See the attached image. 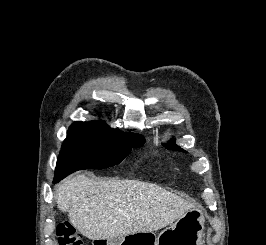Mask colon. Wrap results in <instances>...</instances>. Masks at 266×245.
Returning a JSON list of instances; mask_svg holds the SVG:
<instances>
[{"instance_id":"1","label":"colon","mask_w":266,"mask_h":245,"mask_svg":"<svg viewBox=\"0 0 266 245\" xmlns=\"http://www.w3.org/2000/svg\"><path fill=\"white\" fill-rule=\"evenodd\" d=\"M59 245H84V239L67 220L61 223L57 230Z\"/></svg>"}]
</instances>
